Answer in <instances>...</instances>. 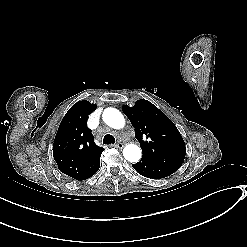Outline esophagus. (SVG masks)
I'll return each instance as SVG.
<instances>
[{"label": "esophagus", "mask_w": 247, "mask_h": 247, "mask_svg": "<svg viewBox=\"0 0 247 247\" xmlns=\"http://www.w3.org/2000/svg\"><path fill=\"white\" fill-rule=\"evenodd\" d=\"M123 146L124 145L122 143H118V144L114 145V147L119 148V149H122Z\"/></svg>", "instance_id": "1"}]
</instances>
